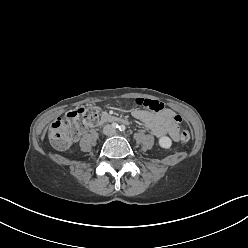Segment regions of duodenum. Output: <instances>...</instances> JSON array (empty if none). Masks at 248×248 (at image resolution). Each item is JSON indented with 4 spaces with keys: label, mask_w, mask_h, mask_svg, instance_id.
Instances as JSON below:
<instances>
[{
    "label": "duodenum",
    "mask_w": 248,
    "mask_h": 248,
    "mask_svg": "<svg viewBox=\"0 0 248 248\" xmlns=\"http://www.w3.org/2000/svg\"><path fill=\"white\" fill-rule=\"evenodd\" d=\"M104 123L125 124V123H127V120H125L124 118L118 117V116H114V115H110V114H104V115H102L100 120L96 123V125L99 126V125L104 124Z\"/></svg>",
    "instance_id": "obj_1"
}]
</instances>
